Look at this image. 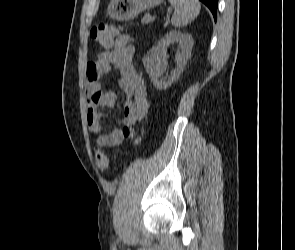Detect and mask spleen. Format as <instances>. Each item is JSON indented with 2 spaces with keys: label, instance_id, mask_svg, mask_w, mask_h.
Masks as SVG:
<instances>
[{
  "label": "spleen",
  "instance_id": "obj_1",
  "mask_svg": "<svg viewBox=\"0 0 295 250\" xmlns=\"http://www.w3.org/2000/svg\"><path fill=\"white\" fill-rule=\"evenodd\" d=\"M175 11L171 18L174 27H183L191 23L200 13L198 0H169Z\"/></svg>",
  "mask_w": 295,
  "mask_h": 250
}]
</instances>
